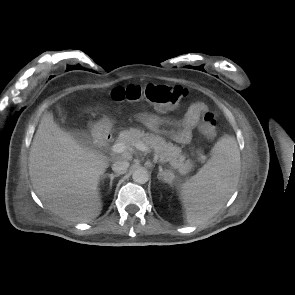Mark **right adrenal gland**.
I'll list each match as a JSON object with an SVG mask.
<instances>
[{"instance_id": "right-adrenal-gland-1", "label": "right adrenal gland", "mask_w": 295, "mask_h": 295, "mask_svg": "<svg viewBox=\"0 0 295 295\" xmlns=\"http://www.w3.org/2000/svg\"><path fill=\"white\" fill-rule=\"evenodd\" d=\"M118 176H119V174H107L106 175V177L110 178V190L112 189L113 179Z\"/></svg>"}]
</instances>
